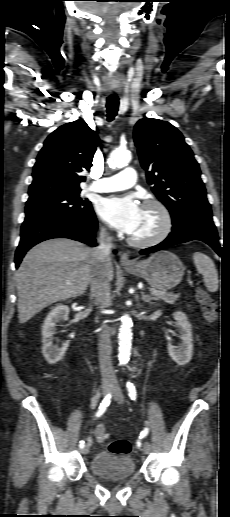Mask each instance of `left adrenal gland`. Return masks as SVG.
Wrapping results in <instances>:
<instances>
[{
	"mask_svg": "<svg viewBox=\"0 0 230 517\" xmlns=\"http://www.w3.org/2000/svg\"><path fill=\"white\" fill-rule=\"evenodd\" d=\"M141 295H142V298H141V299H142V301H144L145 303H151V301L156 300V298H155V297H151L150 295H145V293H144V292H142V293H141Z\"/></svg>",
	"mask_w": 230,
	"mask_h": 517,
	"instance_id": "obj_1",
	"label": "left adrenal gland"
}]
</instances>
